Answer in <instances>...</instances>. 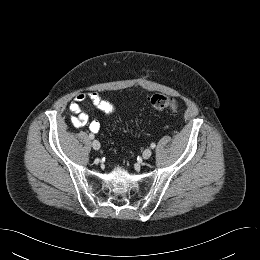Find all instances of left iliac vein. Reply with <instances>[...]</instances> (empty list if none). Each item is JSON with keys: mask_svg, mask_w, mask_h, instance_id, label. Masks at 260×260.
<instances>
[{"mask_svg": "<svg viewBox=\"0 0 260 260\" xmlns=\"http://www.w3.org/2000/svg\"><path fill=\"white\" fill-rule=\"evenodd\" d=\"M152 155V150L151 149H145L142 153L143 159H148Z\"/></svg>", "mask_w": 260, "mask_h": 260, "instance_id": "1", "label": "left iliac vein"}]
</instances>
